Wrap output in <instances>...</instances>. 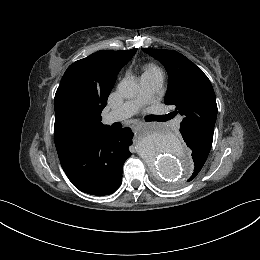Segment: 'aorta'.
Here are the masks:
<instances>
[{
	"label": "aorta",
	"mask_w": 260,
	"mask_h": 260,
	"mask_svg": "<svg viewBox=\"0 0 260 260\" xmlns=\"http://www.w3.org/2000/svg\"><path fill=\"white\" fill-rule=\"evenodd\" d=\"M139 84L134 79H123L118 92L125 98L135 97ZM138 152L148 162L152 174L164 182H175L186 178L192 163L181 140L162 126L144 127L143 137L138 143Z\"/></svg>",
	"instance_id": "762f6f07"
}]
</instances>
